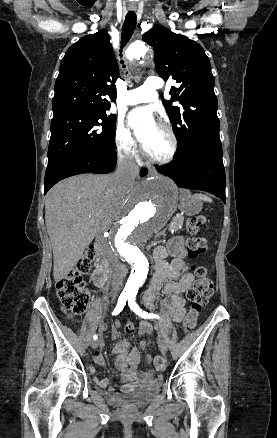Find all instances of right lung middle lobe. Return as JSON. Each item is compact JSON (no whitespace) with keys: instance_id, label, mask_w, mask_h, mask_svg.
I'll return each instance as SVG.
<instances>
[{"instance_id":"obj_1","label":"right lung middle lobe","mask_w":277,"mask_h":438,"mask_svg":"<svg viewBox=\"0 0 277 438\" xmlns=\"http://www.w3.org/2000/svg\"><path fill=\"white\" fill-rule=\"evenodd\" d=\"M115 115L78 113L53 116L48 165L76 154L115 148Z\"/></svg>"}]
</instances>
